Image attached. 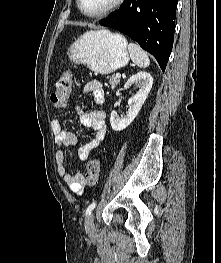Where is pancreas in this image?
<instances>
[{
    "instance_id": "obj_1",
    "label": "pancreas",
    "mask_w": 221,
    "mask_h": 263,
    "mask_svg": "<svg viewBox=\"0 0 221 263\" xmlns=\"http://www.w3.org/2000/svg\"><path fill=\"white\" fill-rule=\"evenodd\" d=\"M119 81H120L119 78H116L115 75H112L109 79V83L111 85V88L114 89L118 85Z\"/></svg>"
}]
</instances>
